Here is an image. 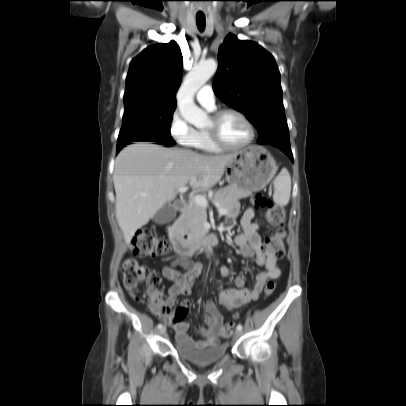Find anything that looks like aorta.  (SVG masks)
I'll use <instances>...</instances> for the list:
<instances>
[{"instance_id":"aorta-1","label":"aorta","mask_w":406,"mask_h":406,"mask_svg":"<svg viewBox=\"0 0 406 406\" xmlns=\"http://www.w3.org/2000/svg\"><path fill=\"white\" fill-rule=\"evenodd\" d=\"M217 63L214 59H208L195 65L186 75L177 93V102L181 116L197 128L204 127L208 123L207 114L196 106L195 93L214 75Z\"/></svg>"}]
</instances>
